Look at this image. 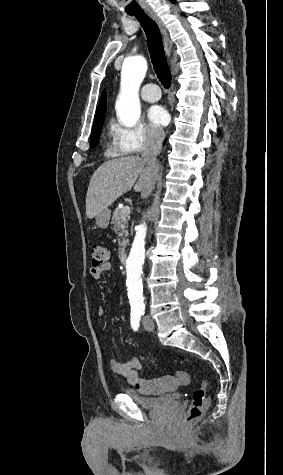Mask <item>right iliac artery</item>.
<instances>
[{"instance_id":"1","label":"right iliac artery","mask_w":283,"mask_h":475,"mask_svg":"<svg viewBox=\"0 0 283 475\" xmlns=\"http://www.w3.org/2000/svg\"><path fill=\"white\" fill-rule=\"evenodd\" d=\"M141 320V313L139 312H131V327L133 328L134 331L138 330L139 323Z\"/></svg>"}]
</instances>
